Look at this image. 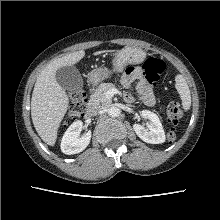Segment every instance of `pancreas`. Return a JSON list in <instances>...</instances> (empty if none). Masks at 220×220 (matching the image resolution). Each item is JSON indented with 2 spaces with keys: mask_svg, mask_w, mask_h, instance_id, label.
<instances>
[{
  "mask_svg": "<svg viewBox=\"0 0 220 220\" xmlns=\"http://www.w3.org/2000/svg\"><path fill=\"white\" fill-rule=\"evenodd\" d=\"M115 85L112 83H102L91 95L89 104L94 108H105L111 103V99L106 97L108 90L114 89Z\"/></svg>",
  "mask_w": 220,
  "mask_h": 220,
  "instance_id": "cf45deb5",
  "label": "pancreas"
}]
</instances>
